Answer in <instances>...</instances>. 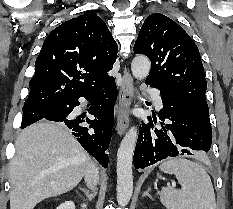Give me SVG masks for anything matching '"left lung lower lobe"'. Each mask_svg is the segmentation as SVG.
<instances>
[{"label": "left lung lower lobe", "instance_id": "1", "mask_svg": "<svg viewBox=\"0 0 233 209\" xmlns=\"http://www.w3.org/2000/svg\"><path fill=\"white\" fill-rule=\"evenodd\" d=\"M146 84L161 92L163 109L159 113V123L162 128H154L151 117H148L149 124L140 125L134 167L145 168L169 156L192 155L191 150L208 152L212 141L208 111L152 81ZM165 119L169 124L164 123ZM153 121L157 122L156 117Z\"/></svg>", "mask_w": 233, "mask_h": 209}]
</instances>
